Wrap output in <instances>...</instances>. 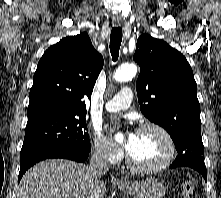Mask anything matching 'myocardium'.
<instances>
[{"instance_id": "obj_1", "label": "myocardium", "mask_w": 221, "mask_h": 198, "mask_svg": "<svg viewBox=\"0 0 221 198\" xmlns=\"http://www.w3.org/2000/svg\"><path fill=\"white\" fill-rule=\"evenodd\" d=\"M146 129H153L159 132L162 137L165 139L167 144V151L164 157L155 164L152 165H141L136 163L127 153L125 156L126 164L133 170L137 172L142 173H152V172H158L166 167H168L171 162L173 161L176 153V145L173 137L169 133V131L164 128L162 125L155 123V122H146L139 126L138 131L146 130Z\"/></svg>"}]
</instances>
